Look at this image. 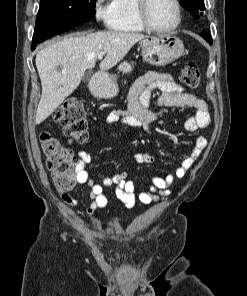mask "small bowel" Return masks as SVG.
Segmentation results:
<instances>
[{"instance_id": "1", "label": "small bowel", "mask_w": 247, "mask_h": 296, "mask_svg": "<svg viewBox=\"0 0 247 296\" xmlns=\"http://www.w3.org/2000/svg\"><path fill=\"white\" fill-rule=\"evenodd\" d=\"M159 90L160 94L152 100V94ZM153 104V108L150 104ZM162 107H189L194 113L188 116L184 127L188 132L195 133L210 124L209 109L206 102L195 95L188 93L184 87L173 77L156 72H148L141 76L132 86L129 95V109L126 112H114L106 117L107 123H118L131 128H143L151 130V126L159 117V109ZM208 140L199 135L195 138L190 154L183 159L180 166L165 177H153L147 190L139 191L136 195L137 182L127 179L126 173L105 177L102 183H97L89 177L86 166L91 162V156L80 151L77 182L89 187V196L92 200L86 213L91 215L97 210L104 209L108 204L105 194L106 187H113L114 192L127 209L135 207L137 200L145 205L157 202L162 197L171 195L170 186L185 177L194 161L206 149ZM137 164H149L154 161V156L149 152H136L133 154ZM61 198L69 205H77L78 199L67 192L61 193Z\"/></svg>"}]
</instances>
